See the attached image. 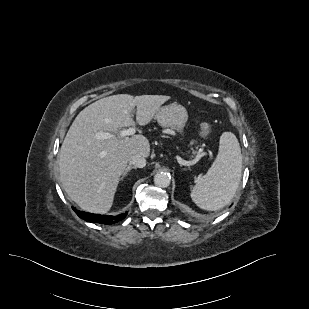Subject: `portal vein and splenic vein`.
<instances>
[{"label": "portal vein and splenic vein", "mask_w": 309, "mask_h": 309, "mask_svg": "<svg viewBox=\"0 0 309 309\" xmlns=\"http://www.w3.org/2000/svg\"><path fill=\"white\" fill-rule=\"evenodd\" d=\"M134 133H135V129H134V128H129V129L121 130L120 133H119V135H120L121 137H126V136H129V135H133ZM96 137H97L98 139H107V138L112 137V135H111L110 133L102 132V133H98V134L96 135ZM200 158H201V155L198 154V155L196 156V159L199 160Z\"/></svg>", "instance_id": "portal-vein-and-splenic-vein-1"}]
</instances>
